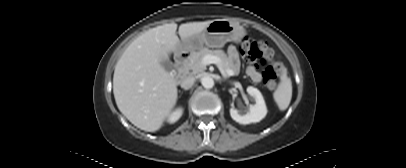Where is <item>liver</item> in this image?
<instances>
[{"label":"liver","instance_id":"1","mask_svg":"<svg viewBox=\"0 0 406 168\" xmlns=\"http://www.w3.org/2000/svg\"><path fill=\"white\" fill-rule=\"evenodd\" d=\"M212 21L181 24V40L200 34ZM176 30V23L149 29L127 47L115 66L117 107L134 126L147 132L159 130L177 102V82L161 65L180 44Z\"/></svg>","mask_w":406,"mask_h":168}]
</instances>
